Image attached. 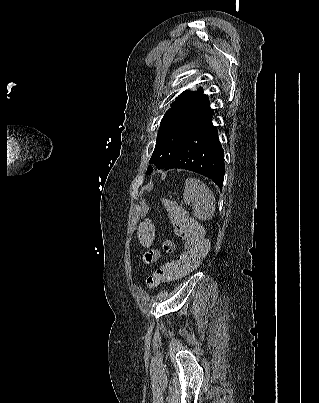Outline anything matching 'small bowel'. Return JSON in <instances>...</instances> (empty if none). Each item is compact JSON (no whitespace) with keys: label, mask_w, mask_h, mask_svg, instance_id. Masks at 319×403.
Returning a JSON list of instances; mask_svg holds the SVG:
<instances>
[{"label":"small bowel","mask_w":319,"mask_h":403,"mask_svg":"<svg viewBox=\"0 0 319 403\" xmlns=\"http://www.w3.org/2000/svg\"><path fill=\"white\" fill-rule=\"evenodd\" d=\"M163 249L168 253L172 252L173 251V245L171 243H166L164 245ZM145 255H146V257H148V261H150L151 263H154L156 261V258L153 256L154 255L153 250H151V249L146 250ZM184 275H186V274H184ZM184 275H181L179 277H182Z\"/></svg>","instance_id":"small-bowel-1"}]
</instances>
